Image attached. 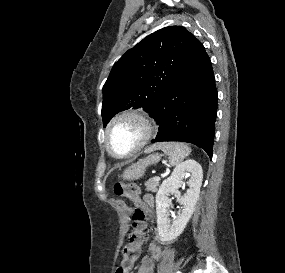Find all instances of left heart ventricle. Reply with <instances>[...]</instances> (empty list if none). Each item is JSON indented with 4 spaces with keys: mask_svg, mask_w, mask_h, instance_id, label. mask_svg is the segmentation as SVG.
Instances as JSON below:
<instances>
[{
    "mask_svg": "<svg viewBox=\"0 0 285 273\" xmlns=\"http://www.w3.org/2000/svg\"><path fill=\"white\" fill-rule=\"evenodd\" d=\"M142 135V126L136 119H122L111 129L109 135L111 149L118 155L127 154L137 145Z\"/></svg>",
    "mask_w": 285,
    "mask_h": 273,
    "instance_id": "b2bd125f",
    "label": "left heart ventricle"
}]
</instances>
